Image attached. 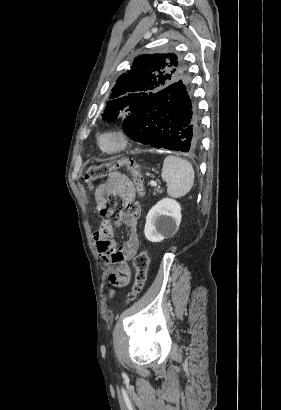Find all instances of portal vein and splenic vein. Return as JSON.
I'll use <instances>...</instances> for the list:
<instances>
[{"instance_id":"obj_1","label":"portal vein and splenic vein","mask_w":281,"mask_h":410,"mask_svg":"<svg viewBox=\"0 0 281 410\" xmlns=\"http://www.w3.org/2000/svg\"><path fill=\"white\" fill-rule=\"evenodd\" d=\"M150 185L156 187L157 183L155 181H150Z\"/></svg>"}]
</instances>
